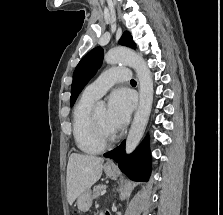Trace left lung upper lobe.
<instances>
[{"label": "left lung upper lobe", "mask_w": 223, "mask_h": 215, "mask_svg": "<svg viewBox=\"0 0 223 215\" xmlns=\"http://www.w3.org/2000/svg\"><path fill=\"white\" fill-rule=\"evenodd\" d=\"M120 44L135 48V43L129 32H125L121 37ZM103 60V49L96 47L85 55L77 65L73 73V82L71 87L70 105L76 101L79 93L88 81L94 76Z\"/></svg>", "instance_id": "5c2ea615"}]
</instances>
